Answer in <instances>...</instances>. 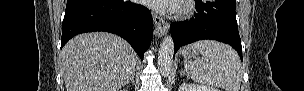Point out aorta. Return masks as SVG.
Segmentation results:
<instances>
[{"mask_svg":"<svg viewBox=\"0 0 304 91\" xmlns=\"http://www.w3.org/2000/svg\"><path fill=\"white\" fill-rule=\"evenodd\" d=\"M174 41L171 36L164 37L158 54V69L163 76H168L172 70Z\"/></svg>","mask_w":304,"mask_h":91,"instance_id":"aorta-1","label":"aorta"}]
</instances>
